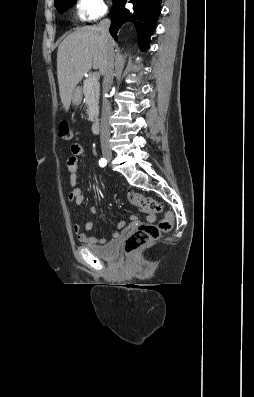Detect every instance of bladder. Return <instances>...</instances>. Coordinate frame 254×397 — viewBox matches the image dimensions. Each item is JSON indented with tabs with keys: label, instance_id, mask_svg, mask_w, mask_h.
I'll list each match as a JSON object with an SVG mask.
<instances>
[{
	"label": "bladder",
	"instance_id": "obj_1",
	"mask_svg": "<svg viewBox=\"0 0 254 397\" xmlns=\"http://www.w3.org/2000/svg\"><path fill=\"white\" fill-rule=\"evenodd\" d=\"M119 241H111L108 242L105 245H91L88 246L87 248L97 257L106 259V260H112L115 259L118 254H119Z\"/></svg>",
	"mask_w": 254,
	"mask_h": 397
}]
</instances>
